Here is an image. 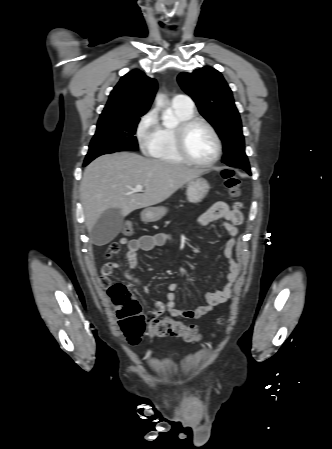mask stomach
I'll return each mask as SVG.
<instances>
[{"instance_id": "obj_1", "label": "stomach", "mask_w": 332, "mask_h": 449, "mask_svg": "<svg viewBox=\"0 0 332 449\" xmlns=\"http://www.w3.org/2000/svg\"><path fill=\"white\" fill-rule=\"evenodd\" d=\"M210 189L206 179L197 177L187 184V199L190 203L197 204L202 202ZM167 213L165 207H148L141 212V219L144 222H156L163 218Z\"/></svg>"}]
</instances>
